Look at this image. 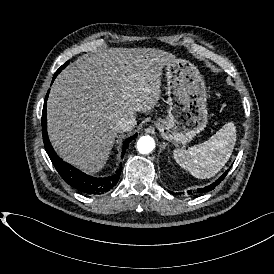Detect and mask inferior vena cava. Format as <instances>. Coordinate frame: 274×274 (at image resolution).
I'll return each mask as SVG.
<instances>
[{"mask_svg":"<svg viewBox=\"0 0 274 274\" xmlns=\"http://www.w3.org/2000/svg\"><path fill=\"white\" fill-rule=\"evenodd\" d=\"M136 125V120L134 117H123L117 120L113 129L116 133L127 132L133 130Z\"/></svg>","mask_w":274,"mask_h":274,"instance_id":"inferior-vena-cava-1","label":"inferior vena cava"}]
</instances>
